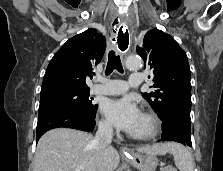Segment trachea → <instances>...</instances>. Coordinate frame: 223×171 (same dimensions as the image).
Masks as SVG:
<instances>
[{
    "label": "trachea",
    "mask_w": 223,
    "mask_h": 171,
    "mask_svg": "<svg viewBox=\"0 0 223 171\" xmlns=\"http://www.w3.org/2000/svg\"><path fill=\"white\" fill-rule=\"evenodd\" d=\"M114 69H116L120 73H123V67L121 64L120 56H116L113 51H110L108 55V63L105 74L109 75Z\"/></svg>",
    "instance_id": "obj_1"
}]
</instances>
